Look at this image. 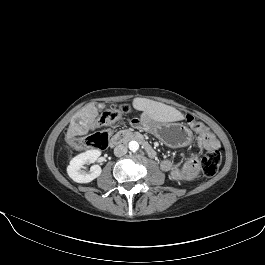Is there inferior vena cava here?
<instances>
[{
  "label": "inferior vena cava",
  "instance_id": "obj_1",
  "mask_svg": "<svg viewBox=\"0 0 265 265\" xmlns=\"http://www.w3.org/2000/svg\"><path fill=\"white\" fill-rule=\"evenodd\" d=\"M128 149L126 145L119 144L114 148V154L117 157L124 156L127 153Z\"/></svg>",
  "mask_w": 265,
  "mask_h": 265
}]
</instances>
